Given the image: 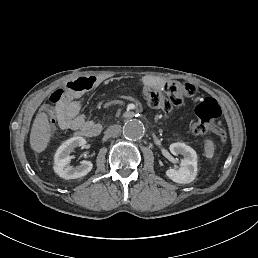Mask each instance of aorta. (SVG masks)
<instances>
[{
	"mask_svg": "<svg viewBox=\"0 0 258 258\" xmlns=\"http://www.w3.org/2000/svg\"><path fill=\"white\" fill-rule=\"evenodd\" d=\"M144 125L138 119L128 120L123 126V135L129 140H139L144 135Z\"/></svg>",
	"mask_w": 258,
	"mask_h": 258,
	"instance_id": "aorta-1",
	"label": "aorta"
}]
</instances>
